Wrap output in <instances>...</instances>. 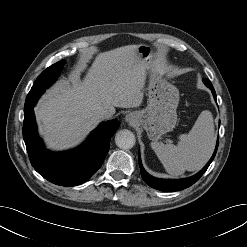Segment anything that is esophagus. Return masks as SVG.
I'll list each match as a JSON object with an SVG mask.
<instances>
[{"mask_svg":"<svg viewBox=\"0 0 247 247\" xmlns=\"http://www.w3.org/2000/svg\"><path fill=\"white\" fill-rule=\"evenodd\" d=\"M125 120H126V122H128V123H130L132 125L137 123V117L133 113L127 114L126 117H125Z\"/></svg>","mask_w":247,"mask_h":247,"instance_id":"34e87169","label":"esophagus"}]
</instances>
